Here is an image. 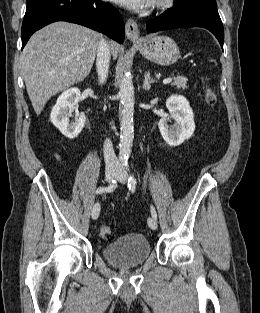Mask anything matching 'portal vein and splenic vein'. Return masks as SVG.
<instances>
[{"mask_svg":"<svg viewBox=\"0 0 260 313\" xmlns=\"http://www.w3.org/2000/svg\"><path fill=\"white\" fill-rule=\"evenodd\" d=\"M171 81H172V78H166V79L163 80V83H164V84H168V83H170Z\"/></svg>","mask_w":260,"mask_h":313,"instance_id":"obj_1","label":"portal vein and splenic vein"}]
</instances>
